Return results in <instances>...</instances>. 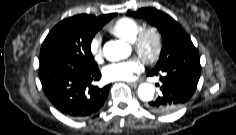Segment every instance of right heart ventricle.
Returning a JSON list of instances; mask_svg holds the SVG:
<instances>
[{
  "instance_id": "e07e8e85",
  "label": "right heart ventricle",
  "mask_w": 236,
  "mask_h": 135,
  "mask_svg": "<svg viewBox=\"0 0 236 135\" xmlns=\"http://www.w3.org/2000/svg\"><path fill=\"white\" fill-rule=\"evenodd\" d=\"M141 29V23L131 17H122L113 22L107 28V30L114 36L131 43L134 41Z\"/></svg>"
}]
</instances>
